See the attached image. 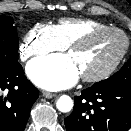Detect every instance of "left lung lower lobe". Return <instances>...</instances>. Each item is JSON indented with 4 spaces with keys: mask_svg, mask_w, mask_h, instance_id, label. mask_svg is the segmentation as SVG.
Here are the masks:
<instances>
[{
    "mask_svg": "<svg viewBox=\"0 0 131 131\" xmlns=\"http://www.w3.org/2000/svg\"><path fill=\"white\" fill-rule=\"evenodd\" d=\"M67 131H127L131 127V88L91 86L74 97L65 118Z\"/></svg>",
    "mask_w": 131,
    "mask_h": 131,
    "instance_id": "0a47b994",
    "label": "left lung lower lobe"
}]
</instances>
